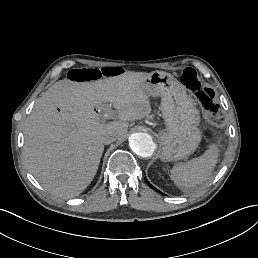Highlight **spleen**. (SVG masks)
I'll use <instances>...</instances> for the list:
<instances>
[{"label":"spleen","instance_id":"1","mask_svg":"<svg viewBox=\"0 0 258 258\" xmlns=\"http://www.w3.org/2000/svg\"><path fill=\"white\" fill-rule=\"evenodd\" d=\"M218 155V146L212 144L199 157L176 164L171 169V178L179 188L194 190L211 177L218 163Z\"/></svg>","mask_w":258,"mask_h":258}]
</instances>
